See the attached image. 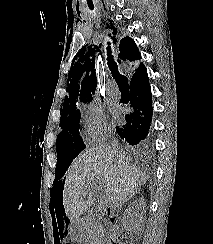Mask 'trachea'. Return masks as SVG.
<instances>
[{"label": "trachea", "mask_w": 213, "mask_h": 244, "mask_svg": "<svg viewBox=\"0 0 213 244\" xmlns=\"http://www.w3.org/2000/svg\"><path fill=\"white\" fill-rule=\"evenodd\" d=\"M107 55L108 67L112 73L113 78L118 84L119 90L121 93H129L128 79L126 76L119 73L118 66L116 62H114L113 55H111L110 46L107 47Z\"/></svg>", "instance_id": "obj_1"}]
</instances>
